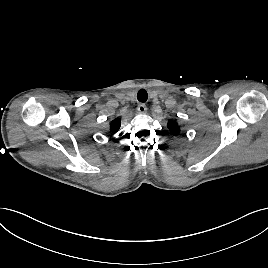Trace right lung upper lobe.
<instances>
[{
  "instance_id": "obj_1",
  "label": "right lung upper lobe",
  "mask_w": 268,
  "mask_h": 268,
  "mask_svg": "<svg viewBox=\"0 0 268 268\" xmlns=\"http://www.w3.org/2000/svg\"><path fill=\"white\" fill-rule=\"evenodd\" d=\"M120 123L121 120L119 118H115L114 120H112L110 123V131L112 133H115L120 128Z\"/></svg>"
}]
</instances>
